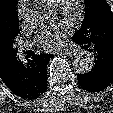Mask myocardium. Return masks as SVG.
Here are the masks:
<instances>
[{"label":"myocardium","instance_id":"f54148a6","mask_svg":"<svg viewBox=\"0 0 113 113\" xmlns=\"http://www.w3.org/2000/svg\"><path fill=\"white\" fill-rule=\"evenodd\" d=\"M72 0H59L55 6L56 13L72 26L80 24L85 14V3L83 0H73L76 3V9L70 10V2Z\"/></svg>","mask_w":113,"mask_h":113}]
</instances>
